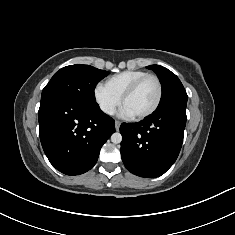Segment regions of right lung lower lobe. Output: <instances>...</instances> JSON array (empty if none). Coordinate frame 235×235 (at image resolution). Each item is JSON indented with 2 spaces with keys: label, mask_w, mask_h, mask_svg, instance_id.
Wrapping results in <instances>:
<instances>
[{
  "label": "right lung lower lobe",
  "mask_w": 235,
  "mask_h": 235,
  "mask_svg": "<svg viewBox=\"0 0 235 235\" xmlns=\"http://www.w3.org/2000/svg\"><path fill=\"white\" fill-rule=\"evenodd\" d=\"M39 134L50 163L66 175H79L97 162L115 132V121L98 104L57 98L40 103Z\"/></svg>",
  "instance_id": "98d812e1"
}]
</instances>
